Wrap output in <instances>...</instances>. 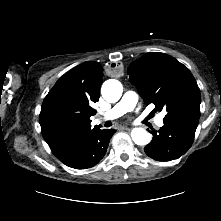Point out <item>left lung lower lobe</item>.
<instances>
[{
  "mask_svg": "<svg viewBox=\"0 0 221 221\" xmlns=\"http://www.w3.org/2000/svg\"><path fill=\"white\" fill-rule=\"evenodd\" d=\"M198 122L197 119L164 121L160 130L151 132L153 140L145 146V153L156 161L178 159L191 147Z\"/></svg>",
  "mask_w": 221,
  "mask_h": 221,
  "instance_id": "1",
  "label": "left lung lower lobe"
}]
</instances>
